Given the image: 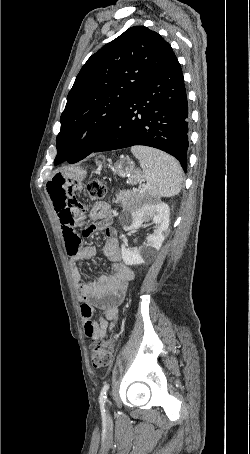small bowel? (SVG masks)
Returning <instances> with one entry per match:
<instances>
[{"label": "small bowel", "mask_w": 250, "mask_h": 454, "mask_svg": "<svg viewBox=\"0 0 250 454\" xmlns=\"http://www.w3.org/2000/svg\"><path fill=\"white\" fill-rule=\"evenodd\" d=\"M82 190L80 178L55 175L47 184V191L62 229L68 255L71 257V274L81 301L80 312L84 320L85 335L91 339L104 337L116 325L118 306L133 279L132 270L123 263L120 244L114 229L110 227L112 218L106 202H97L88 210L76 197ZM87 224V225H86ZM86 226L84 237L95 231L105 233L103 253L111 262L109 274L83 280L76 262L91 259L98 253L94 246L84 245L76 228ZM95 308L101 309L105 317L93 319Z\"/></svg>", "instance_id": "1"}]
</instances>
